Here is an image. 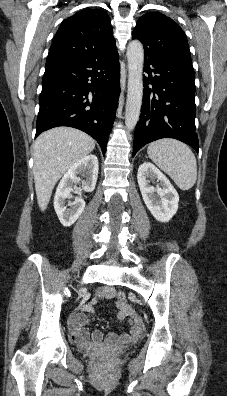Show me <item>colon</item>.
Masks as SVG:
<instances>
[{
    "mask_svg": "<svg viewBox=\"0 0 227 396\" xmlns=\"http://www.w3.org/2000/svg\"><path fill=\"white\" fill-rule=\"evenodd\" d=\"M118 298H120V299H124V294H123V293H121V292H119V294H118Z\"/></svg>",
    "mask_w": 227,
    "mask_h": 396,
    "instance_id": "obj_1",
    "label": "colon"
}]
</instances>
